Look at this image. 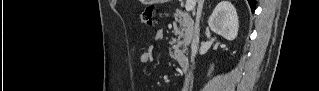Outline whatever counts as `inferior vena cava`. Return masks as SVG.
<instances>
[{
  "mask_svg": "<svg viewBox=\"0 0 319 91\" xmlns=\"http://www.w3.org/2000/svg\"><path fill=\"white\" fill-rule=\"evenodd\" d=\"M203 3H204V0H198V8H197L196 22L194 27V34H193V39L191 42V63L192 64L195 62V57L197 55L198 47H199V33H200L199 21L202 14ZM191 75L192 73L191 71H189V73L185 77L183 91H188Z\"/></svg>",
  "mask_w": 319,
  "mask_h": 91,
  "instance_id": "inferior-vena-cava-1",
  "label": "inferior vena cava"
}]
</instances>
